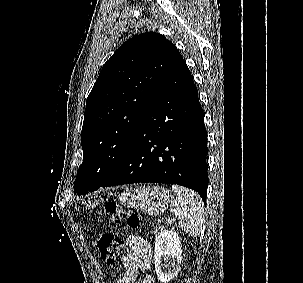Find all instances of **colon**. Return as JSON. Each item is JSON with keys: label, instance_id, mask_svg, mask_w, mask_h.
Segmentation results:
<instances>
[{"label": "colon", "instance_id": "colon-1", "mask_svg": "<svg viewBox=\"0 0 303 283\" xmlns=\"http://www.w3.org/2000/svg\"><path fill=\"white\" fill-rule=\"evenodd\" d=\"M104 211L109 214L116 223L125 221L131 228H135L139 223L138 215L135 212L121 209L115 202H108ZM97 245L102 260L110 264L115 263L125 250V241L108 230L98 233Z\"/></svg>", "mask_w": 303, "mask_h": 283}]
</instances>
